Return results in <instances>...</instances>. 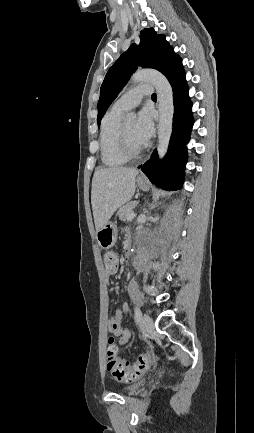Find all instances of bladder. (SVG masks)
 Segmentation results:
<instances>
[{
    "instance_id": "31cf9c89",
    "label": "bladder",
    "mask_w": 254,
    "mask_h": 433,
    "mask_svg": "<svg viewBox=\"0 0 254 433\" xmlns=\"http://www.w3.org/2000/svg\"><path fill=\"white\" fill-rule=\"evenodd\" d=\"M139 386H140L139 382L131 384L129 386L124 387L122 389V392L125 394H133L138 390Z\"/></svg>"
}]
</instances>
